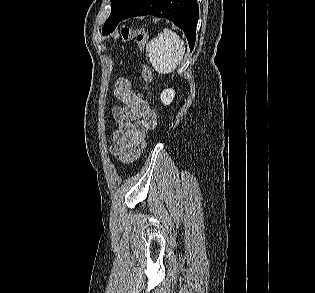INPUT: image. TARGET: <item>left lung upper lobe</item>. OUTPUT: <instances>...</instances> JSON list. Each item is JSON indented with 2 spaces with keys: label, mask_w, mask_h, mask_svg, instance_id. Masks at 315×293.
<instances>
[{
  "label": "left lung upper lobe",
  "mask_w": 315,
  "mask_h": 293,
  "mask_svg": "<svg viewBox=\"0 0 315 293\" xmlns=\"http://www.w3.org/2000/svg\"><path fill=\"white\" fill-rule=\"evenodd\" d=\"M139 0H111V14L103 27V35L113 32L122 18L135 6Z\"/></svg>",
  "instance_id": "obj_1"
}]
</instances>
